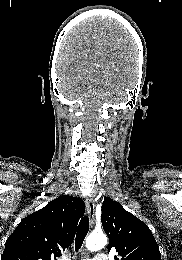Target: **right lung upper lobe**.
Masks as SVG:
<instances>
[{"instance_id":"obj_1","label":"right lung upper lobe","mask_w":182,"mask_h":260,"mask_svg":"<svg viewBox=\"0 0 182 260\" xmlns=\"http://www.w3.org/2000/svg\"><path fill=\"white\" fill-rule=\"evenodd\" d=\"M82 199L63 195L23 218L8 237L1 260H57L74 240Z\"/></svg>"}]
</instances>
